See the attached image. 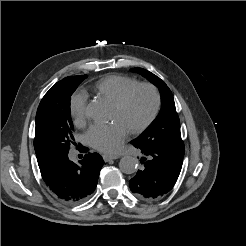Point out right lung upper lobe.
<instances>
[{
  "mask_svg": "<svg viewBox=\"0 0 246 246\" xmlns=\"http://www.w3.org/2000/svg\"><path fill=\"white\" fill-rule=\"evenodd\" d=\"M36 127H37V119H36ZM34 148L36 152V157L38 161V165L41 164L45 159L43 158V155L41 153L40 147L37 142V137H36V130H35V139H34Z\"/></svg>",
  "mask_w": 246,
  "mask_h": 246,
  "instance_id": "1",
  "label": "right lung upper lobe"
}]
</instances>
